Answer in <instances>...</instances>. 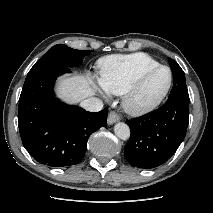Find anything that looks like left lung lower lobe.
Here are the masks:
<instances>
[{
  "label": "left lung lower lobe",
  "mask_w": 213,
  "mask_h": 213,
  "mask_svg": "<svg viewBox=\"0 0 213 213\" xmlns=\"http://www.w3.org/2000/svg\"><path fill=\"white\" fill-rule=\"evenodd\" d=\"M189 122V101L168 98L159 109L127 120L131 137L124 155L131 166L155 168L164 164L182 143Z\"/></svg>",
  "instance_id": "0a47b994"
}]
</instances>
